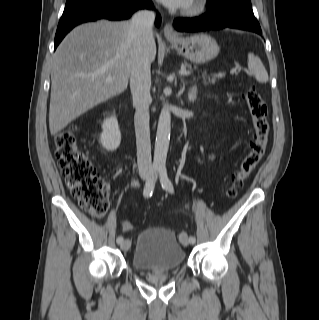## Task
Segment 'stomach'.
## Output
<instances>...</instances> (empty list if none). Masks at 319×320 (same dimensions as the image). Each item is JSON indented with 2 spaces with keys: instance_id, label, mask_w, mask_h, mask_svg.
Here are the masks:
<instances>
[{
  "instance_id": "0dacf381",
  "label": "stomach",
  "mask_w": 319,
  "mask_h": 320,
  "mask_svg": "<svg viewBox=\"0 0 319 320\" xmlns=\"http://www.w3.org/2000/svg\"><path fill=\"white\" fill-rule=\"evenodd\" d=\"M170 43L179 55L198 64L211 61L220 50L215 39L203 33L170 39Z\"/></svg>"
}]
</instances>
